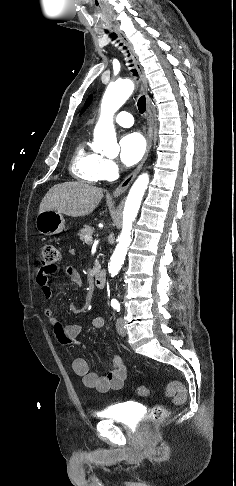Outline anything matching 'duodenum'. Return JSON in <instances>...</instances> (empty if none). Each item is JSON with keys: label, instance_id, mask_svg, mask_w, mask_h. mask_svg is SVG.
<instances>
[{"label": "duodenum", "instance_id": "1", "mask_svg": "<svg viewBox=\"0 0 236 486\" xmlns=\"http://www.w3.org/2000/svg\"><path fill=\"white\" fill-rule=\"evenodd\" d=\"M94 284L97 288H104L106 284V273L103 270H99L96 272L94 277Z\"/></svg>", "mask_w": 236, "mask_h": 486}]
</instances>
